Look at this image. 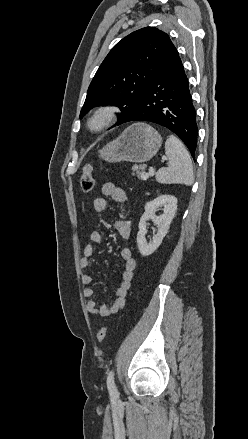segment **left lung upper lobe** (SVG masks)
<instances>
[{"label":"left lung upper lobe","instance_id":"1","mask_svg":"<svg viewBox=\"0 0 248 439\" xmlns=\"http://www.w3.org/2000/svg\"><path fill=\"white\" fill-rule=\"evenodd\" d=\"M175 49L169 36L154 27L139 29L123 38L97 70L80 118L95 106L110 104L121 109L117 124H122Z\"/></svg>","mask_w":248,"mask_h":439}]
</instances>
